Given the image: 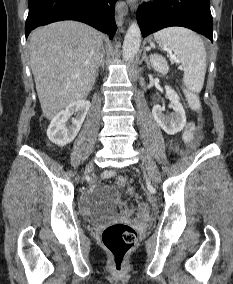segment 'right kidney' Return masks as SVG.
<instances>
[{"mask_svg":"<svg viewBox=\"0 0 233 284\" xmlns=\"http://www.w3.org/2000/svg\"><path fill=\"white\" fill-rule=\"evenodd\" d=\"M90 105L87 100H78L69 104L65 110L60 111L48 127L47 136L49 140L61 147L72 142L81 128ZM73 114H75V117L72 118L71 125H67L68 119Z\"/></svg>","mask_w":233,"mask_h":284,"instance_id":"ca27d5eb","label":"right kidney"}]
</instances>
